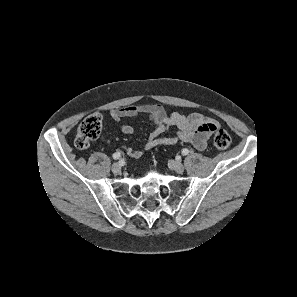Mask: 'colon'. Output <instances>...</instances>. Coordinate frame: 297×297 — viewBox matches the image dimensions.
I'll return each mask as SVG.
<instances>
[{"label":"colon","mask_w":297,"mask_h":297,"mask_svg":"<svg viewBox=\"0 0 297 297\" xmlns=\"http://www.w3.org/2000/svg\"><path fill=\"white\" fill-rule=\"evenodd\" d=\"M102 116L93 114L86 117L78 126L75 137V146L80 150H85L89 147L90 142L96 139L102 128ZM231 143V137L224 129L218 128L214 132L213 144L218 150H226Z\"/></svg>","instance_id":"obj_1"}]
</instances>
